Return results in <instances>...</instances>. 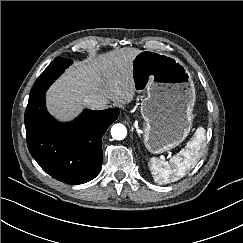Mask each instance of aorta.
I'll return each mask as SVG.
<instances>
[{
	"label": "aorta",
	"mask_w": 243,
	"mask_h": 243,
	"mask_svg": "<svg viewBox=\"0 0 243 243\" xmlns=\"http://www.w3.org/2000/svg\"><path fill=\"white\" fill-rule=\"evenodd\" d=\"M111 135L116 140H123L127 136V129L123 124H115L111 128Z\"/></svg>",
	"instance_id": "1"
}]
</instances>
